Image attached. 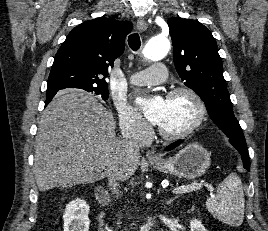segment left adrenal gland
Masks as SVG:
<instances>
[{"label": "left adrenal gland", "instance_id": "a2214340", "mask_svg": "<svg viewBox=\"0 0 268 231\" xmlns=\"http://www.w3.org/2000/svg\"><path fill=\"white\" fill-rule=\"evenodd\" d=\"M176 199H177V196L174 197V198L169 199V200L166 202V204L169 205V204H171V203H172L174 200H176Z\"/></svg>", "mask_w": 268, "mask_h": 231}]
</instances>
